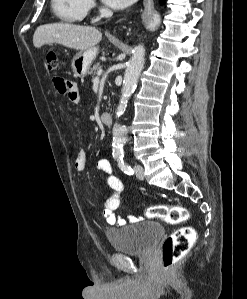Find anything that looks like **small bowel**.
<instances>
[{
  "label": "small bowel",
  "instance_id": "small-bowel-1",
  "mask_svg": "<svg viewBox=\"0 0 247 299\" xmlns=\"http://www.w3.org/2000/svg\"><path fill=\"white\" fill-rule=\"evenodd\" d=\"M53 84L56 90L66 95L71 102H79V91L75 82L56 76L53 78ZM86 164V152L83 148H80L75 159V169L79 172H83L86 168ZM97 169L104 175L105 183L110 189V195L105 199L102 205L103 215L110 225H125L126 220L114 213L120 206L124 185L122 181L114 175L111 163L108 159H100L97 162ZM140 219V217L131 216L129 221L137 222Z\"/></svg>",
  "mask_w": 247,
  "mask_h": 299
}]
</instances>
